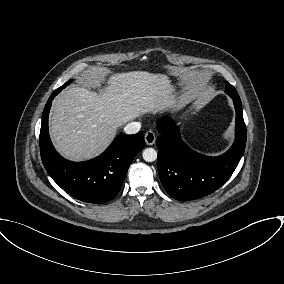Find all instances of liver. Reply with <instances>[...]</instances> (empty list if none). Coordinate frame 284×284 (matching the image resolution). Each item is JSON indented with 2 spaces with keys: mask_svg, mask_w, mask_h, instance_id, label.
Instances as JSON below:
<instances>
[{
  "mask_svg": "<svg viewBox=\"0 0 284 284\" xmlns=\"http://www.w3.org/2000/svg\"><path fill=\"white\" fill-rule=\"evenodd\" d=\"M98 92L72 87L52 104L50 136L65 158L83 161L101 154L123 124L146 113L179 109L175 88L164 74L114 73Z\"/></svg>",
  "mask_w": 284,
  "mask_h": 284,
  "instance_id": "obj_1",
  "label": "liver"
}]
</instances>
